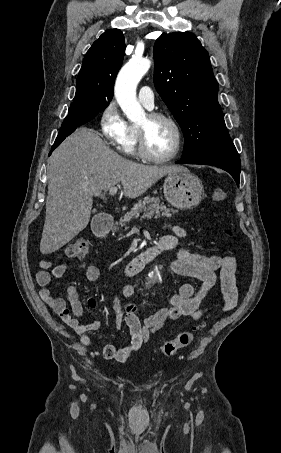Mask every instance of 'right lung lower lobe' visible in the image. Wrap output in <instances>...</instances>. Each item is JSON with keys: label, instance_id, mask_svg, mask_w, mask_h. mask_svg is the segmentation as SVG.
<instances>
[{"label": "right lung lower lobe", "instance_id": "right-lung-lower-lobe-1", "mask_svg": "<svg viewBox=\"0 0 281 453\" xmlns=\"http://www.w3.org/2000/svg\"><path fill=\"white\" fill-rule=\"evenodd\" d=\"M100 111L101 110L92 108L90 105H84L76 108L70 107L68 115L62 123L59 134L54 142V145L51 148L49 155L61 144V142L67 136L73 133L78 126L85 124L86 122L91 120Z\"/></svg>", "mask_w": 281, "mask_h": 453}]
</instances>
